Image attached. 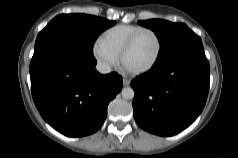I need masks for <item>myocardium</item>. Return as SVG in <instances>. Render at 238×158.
<instances>
[{"label":"myocardium","mask_w":238,"mask_h":158,"mask_svg":"<svg viewBox=\"0 0 238 158\" xmlns=\"http://www.w3.org/2000/svg\"><path fill=\"white\" fill-rule=\"evenodd\" d=\"M143 33H151L155 37L156 42H157L156 55H155L154 59L147 66L140 68V69H130L125 64V58L128 55V53L131 51V49L133 48V46H134L135 42L137 41V39L139 38V36ZM161 54H162V41H161V38L158 35V33L150 28H142V29L138 30L137 32H135L129 38V40L127 41V43L125 44L124 48L122 49V51L120 53V60H121V64H122L123 68L127 72H129L131 74H143V73H146L154 68V66L159 61Z\"/></svg>","instance_id":"f54148a6"}]
</instances>
